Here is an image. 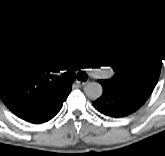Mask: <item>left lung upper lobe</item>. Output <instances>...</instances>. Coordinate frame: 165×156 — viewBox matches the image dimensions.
Wrapping results in <instances>:
<instances>
[{"label":"left lung upper lobe","instance_id":"1","mask_svg":"<svg viewBox=\"0 0 165 156\" xmlns=\"http://www.w3.org/2000/svg\"><path fill=\"white\" fill-rule=\"evenodd\" d=\"M95 48L115 72L109 80L142 101L149 98L163 59L154 41L130 26L107 25L97 34Z\"/></svg>","mask_w":165,"mask_h":156}]
</instances>
